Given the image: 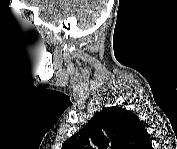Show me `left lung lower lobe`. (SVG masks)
Instances as JSON below:
<instances>
[{
	"mask_svg": "<svg viewBox=\"0 0 177 149\" xmlns=\"http://www.w3.org/2000/svg\"><path fill=\"white\" fill-rule=\"evenodd\" d=\"M142 147H143V149H151V138H150L149 134L143 138Z\"/></svg>",
	"mask_w": 177,
	"mask_h": 149,
	"instance_id": "1",
	"label": "left lung lower lobe"
}]
</instances>
